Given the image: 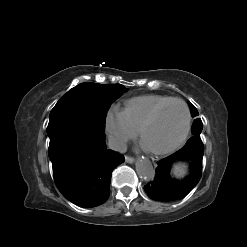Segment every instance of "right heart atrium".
<instances>
[{"label":"right heart atrium","mask_w":247,"mask_h":247,"mask_svg":"<svg viewBox=\"0 0 247 247\" xmlns=\"http://www.w3.org/2000/svg\"><path fill=\"white\" fill-rule=\"evenodd\" d=\"M105 126L110 141L118 150H121L137 135V132L126 121L123 111L115 107L107 112Z\"/></svg>","instance_id":"obj_1"}]
</instances>
